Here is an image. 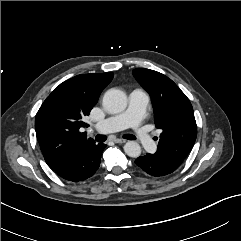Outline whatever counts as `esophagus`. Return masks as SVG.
<instances>
[{"label":"esophagus","mask_w":241,"mask_h":241,"mask_svg":"<svg viewBox=\"0 0 241 241\" xmlns=\"http://www.w3.org/2000/svg\"><path fill=\"white\" fill-rule=\"evenodd\" d=\"M114 142L122 144V143H125L126 140L120 139V138H116V139H114Z\"/></svg>","instance_id":"1"}]
</instances>
